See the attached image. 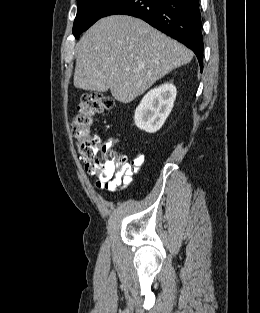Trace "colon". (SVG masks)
<instances>
[{
	"label": "colon",
	"mask_w": 260,
	"mask_h": 313,
	"mask_svg": "<svg viewBox=\"0 0 260 313\" xmlns=\"http://www.w3.org/2000/svg\"><path fill=\"white\" fill-rule=\"evenodd\" d=\"M114 101L102 93H86L81 98L72 120V135L76 139L80 159L91 175L107 181L114 175L120 176L126 168V157L101 142L94 133L96 116L112 109Z\"/></svg>",
	"instance_id": "obj_1"
}]
</instances>
